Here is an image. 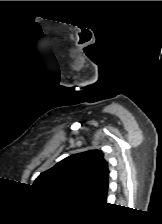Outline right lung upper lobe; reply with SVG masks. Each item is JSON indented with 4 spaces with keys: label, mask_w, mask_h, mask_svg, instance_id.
Returning <instances> with one entry per match:
<instances>
[{
    "label": "right lung upper lobe",
    "mask_w": 162,
    "mask_h": 224,
    "mask_svg": "<svg viewBox=\"0 0 162 224\" xmlns=\"http://www.w3.org/2000/svg\"><path fill=\"white\" fill-rule=\"evenodd\" d=\"M109 170L103 153L91 150L71 155L41 173L34 185L48 192L70 194L89 204L105 203Z\"/></svg>",
    "instance_id": "1"
}]
</instances>
